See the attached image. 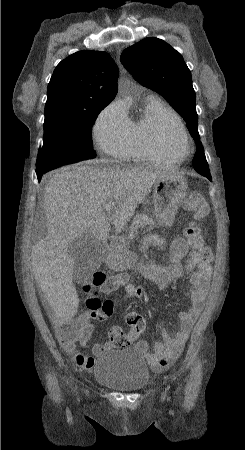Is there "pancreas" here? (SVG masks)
<instances>
[{"instance_id":"obj_1","label":"pancreas","mask_w":245,"mask_h":450,"mask_svg":"<svg viewBox=\"0 0 245 450\" xmlns=\"http://www.w3.org/2000/svg\"><path fill=\"white\" fill-rule=\"evenodd\" d=\"M155 222L152 218L148 217L146 214L141 213L137 214L128 229V236L130 239H133L138 232V229L144 227L146 225L153 226Z\"/></svg>"}]
</instances>
